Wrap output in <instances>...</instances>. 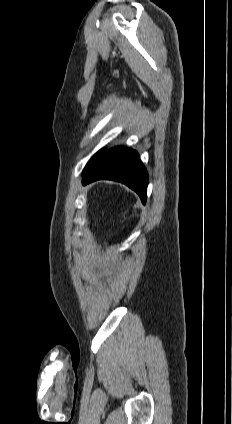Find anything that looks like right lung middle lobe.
<instances>
[{
	"label": "right lung middle lobe",
	"mask_w": 232,
	"mask_h": 424,
	"mask_svg": "<svg viewBox=\"0 0 232 424\" xmlns=\"http://www.w3.org/2000/svg\"><path fill=\"white\" fill-rule=\"evenodd\" d=\"M101 151L97 152L88 162L86 168L97 158V156L100 154Z\"/></svg>",
	"instance_id": "obj_1"
}]
</instances>
